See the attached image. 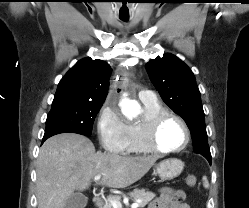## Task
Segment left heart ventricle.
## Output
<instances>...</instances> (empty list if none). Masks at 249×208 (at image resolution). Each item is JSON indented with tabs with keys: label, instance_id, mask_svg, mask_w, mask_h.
Returning <instances> with one entry per match:
<instances>
[{
	"label": "left heart ventricle",
	"instance_id": "b2bd125f",
	"mask_svg": "<svg viewBox=\"0 0 249 208\" xmlns=\"http://www.w3.org/2000/svg\"><path fill=\"white\" fill-rule=\"evenodd\" d=\"M185 141V131L182 125L174 120H167L158 131L156 142L164 149H173L182 146Z\"/></svg>",
	"mask_w": 249,
	"mask_h": 208
}]
</instances>
